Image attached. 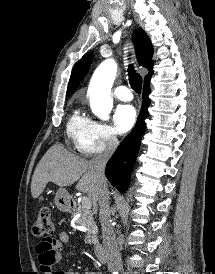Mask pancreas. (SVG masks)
Wrapping results in <instances>:
<instances>
[{"label":"pancreas","mask_w":215,"mask_h":274,"mask_svg":"<svg viewBox=\"0 0 215 274\" xmlns=\"http://www.w3.org/2000/svg\"><path fill=\"white\" fill-rule=\"evenodd\" d=\"M75 222L78 225L86 227L85 242L88 244H97L98 229L93 219V213L90 210L79 206L72 214L73 217L77 216Z\"/></svg>","instance_id":"obj_1"}]
</instances>
